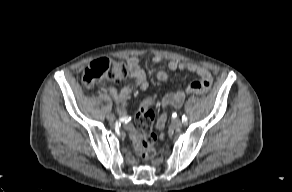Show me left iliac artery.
Returning <instances> with one entry per match:
<instances>
[{
	"instance_id": "1",
	"label": "left iliac artery",
	"mask_w": 292,
	"mask_h": 192,
	"mask_svg": "<svg viewBox=\"0 0 292 192\" xmlns=\"http://www.w3.org/2000/svg\"><path fill=\"white\" fill-rule=\"evenodd\" d=\"M187 120H188V118H187L185 115H183V116H182V122H183V123H186Z\"/></svg>"
}]
</instances>
